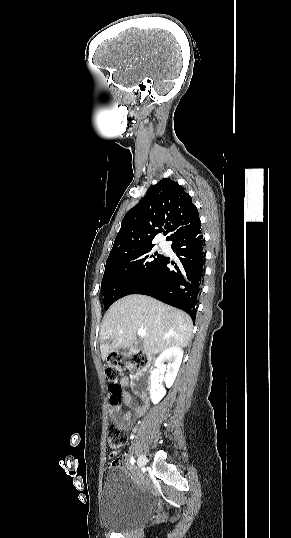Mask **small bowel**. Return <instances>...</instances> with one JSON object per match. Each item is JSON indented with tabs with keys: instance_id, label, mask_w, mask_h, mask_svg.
<instances>
[{
	"instance_id": "1",
	"label": "small bowel",
	"mask_w": 291,
	"mask_h": 538,
	"mask_svg": "<svg viewBox=\"0 0 291 538\" xmlns=\"http://www.w3.org/2000/svg\"><path fill=\"white\" fill-rule=\"evenodd\" d=\"M119 384L121 386V399L117 405H111L110 417L114 422L124 423L127 428L133 414L141 416L146 412L147 402L144 400L143 405H138L133 401L131 395L125 390L133 384L128 377L122 378ZM117 459L118 465L128 463V457L125 454H120Z\"/></svg>"
}]
</instances>
